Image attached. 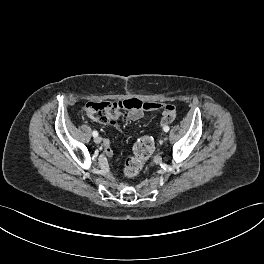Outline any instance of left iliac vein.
<instances>
[{"mask_svg": "<svg viewBox=\"0 0 264 264\" xmlns=\"http://www.w3.org/2000/svg\"><path fill=\"white\" fill-rule=\"evenodd\" d=\"M163 139H164L165 142H168L169 141V138L166 137V136Z\"/></svg>", "mask_w": 264, "mask_h": 264, "instance_id": "1", "label": "left iliac vein"}]
</instances>
